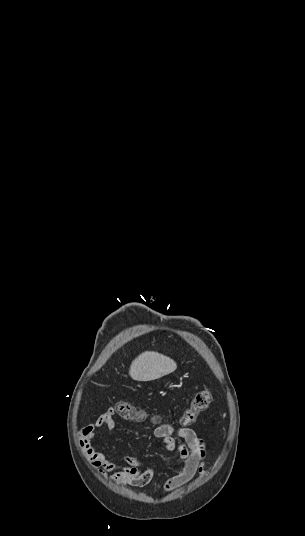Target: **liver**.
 Masks as SVG:
<instances>
[{
  "instance_id": "liver-1",
  "label": "liver",
  "mask_w": 305,
  "mask_h": 536,
  "mask_svg": "<svg viewBox=\"0 0 305 536\" xmlns=\"http://www.w3.org/2000/svg\"><path fill=\"white\" fill-rule=\"evenodd\" d=\"M176 368V362L171 358H167V356H163V354L143 352L133 360L129 376H131L132 380H137V382H151V380H158L162 376L172 374Z\"/></svg>"
}]
</instances>
